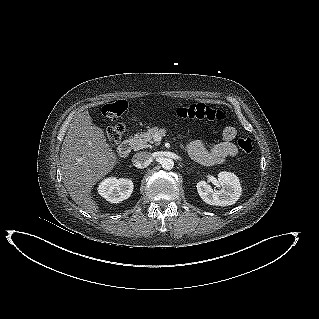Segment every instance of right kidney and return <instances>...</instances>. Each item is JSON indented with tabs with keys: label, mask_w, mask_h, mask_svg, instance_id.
<instances>
[{
	"label": "right kidney",
	"mask_w": 319,
	"mask_h": 319,
	"mask_svg": "<svg viewBox=\"0 0 319 319\" xmlns=\"http://www.w3.org/2000/svg\"><path fill=\"white\" fill-rule=\"evenodd\" d=\"M133 187L129 179L109 177L100 183L98 192L107 201L119 203L131 196Z\"/></svg>",
	"instance_id": "right-kidney-1"
}]
</instances>
